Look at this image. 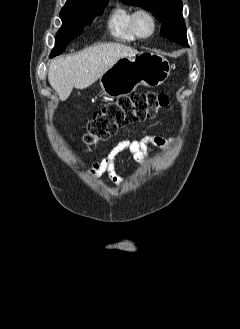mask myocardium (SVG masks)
<instances>
[{"mask_svg": "<svg viewBox=\"0 0 240 329\" xmlns=\"http://www.w3.org/2000/svg\"><path fill=\"white\" fill-rule=\"evenodd\" d=\"M142 17L149 19V21L151 23V30L147 34L141 33L138 28V22ZM131 24H132V30H133L134 34L136 35L137 38H140V39H147V38L152 37L157 30V20H156L154 14L150 10L145 9V8H140L134 12V14L132 16Z\"/></svg>", "mask_w": 240, "mask_h": 329, "instance_id": "myocardium-1", "label": "myocardium"}]
</instances>
